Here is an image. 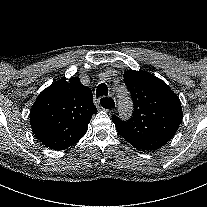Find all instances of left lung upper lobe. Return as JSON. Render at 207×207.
<instances>
[{"label":"left lung upper lobe","mask_w":207,"mask_h":207,"mask_svg":"<svg viewBox=\"0 0 207 207\" xmlns=\"http://www.w3.org/2000/svg\"><path fill=\"white\" fill-rule=\"evenodd\" d=\"M124 82L131 93L134 111L128 121L112 116L117 132L138 150L161 148L182 121L180 99L163 80L146 71L128 70Z\"/></svg>","instance_id":"5c2ea615"}]
</instances>
